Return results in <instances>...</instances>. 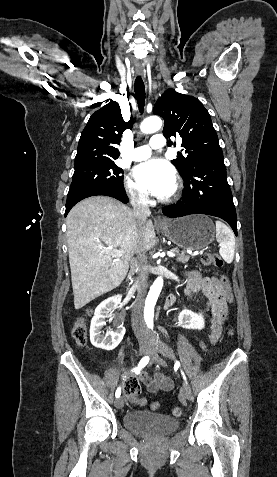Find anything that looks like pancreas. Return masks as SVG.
I'll return each instance as SVG.
<instances>
[{
  "label": "pancreas",
  "instance_id": "obj_1",
  "mask_svg": "<svg viewBox=\"0 0 277 477\" xmlns=\"http://www.w3.org/2000/svg\"><path fill=\"white\" fill-rule=\"evenodd\" d=\"M175 252L179 253V251H175ZM176 260L181 263H186L189 260V256L182 253V254H179V256H177Z\"/></svg>",
  "mask_w": 277,
  "mask_h": 477
}]
</instances>
